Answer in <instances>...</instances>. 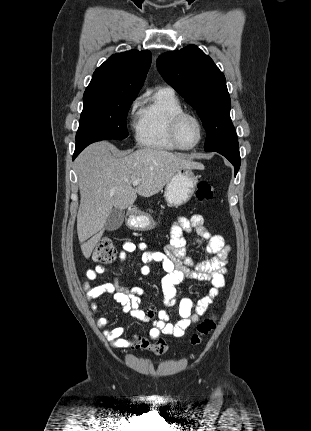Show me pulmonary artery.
Returning a JSON list of instances; mask_svg holds the SVG:
<instances>
[{
    "mask_svg": "<svg viewBox=\"0 0 311 431\" xmlns=\"http://www.w3.org/2000/svg\"><path fill=\"white\" fill-rule=\"evenodd\" d=\"M166 89H168V90H172L171 88H169V87H166Z\"/></svg>",
    "mask_w": 311,
    "mask_h": 431,
    "instance_id": "obj_1",
    "label": "pulmonary artery"
}]
</instances>
